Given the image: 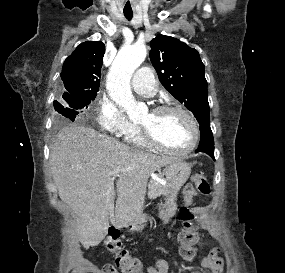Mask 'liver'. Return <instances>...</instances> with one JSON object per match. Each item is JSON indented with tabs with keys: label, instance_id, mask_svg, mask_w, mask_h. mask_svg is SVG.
Listing matches in <instances>:
<instances>
[{
	"label": "liver",
	"instance_id": "obj_1",
	"mask_svg": "<svg viewBox=\"0 0 285 273\" xmlns=\"http://www.w3.org/2000/svg\"><path fill=\"white\" fill-rule=\"evenodd\" d=\"M175 160L130 148L89 127L60 130L51 147V171L60 199L78 216L76 231L83 247L99 244L113 217L118 227L143 218L149 176ZM116 168L121 171L114 207L111 171Z\"/></svg>",
	"mask_w": 285,
	"mask_h": 273
}]
</instances>
